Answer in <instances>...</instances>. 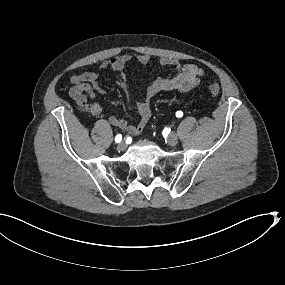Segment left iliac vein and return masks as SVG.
<instances>
[{
    "label": "left iliac vein",
    "mask_w": 285,
    "mask_h": 285,
    "mask_svg": "<svg viewBox=\"0 0 285 285\" xmlns=\"http://www.w3.org/2000/svg\"><path fill=\"white\" fill-rule=\"evenodd\" d=\"M168 145L175 146L178 142V136L175 133H170L166 139Z\"/></svg>",
    "instance_id": "4c4485c4"
}]
</instances>
